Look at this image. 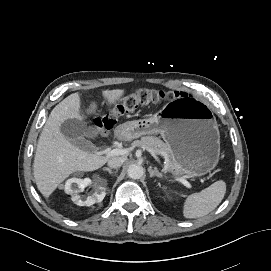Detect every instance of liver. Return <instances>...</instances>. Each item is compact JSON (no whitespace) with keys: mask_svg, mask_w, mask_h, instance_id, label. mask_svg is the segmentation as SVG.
I'll use <instances>...</instances> for the list:
<instances>
[{"mask_svg":"<svg viewBox=\"0 0 271 271\" xmlns=\"http://www.w3.org/2000/svg\"><path fill=\"white\" fill-rule=\"evenodd\" d=\"M124 90L103 91L102 95L111 106L121 101ZM83 120L80 113V97L71 94L60 102L50 113L38 140L35 153L33 174L41 194L48 198L57 186L70 174L89 172L101 168L109 156H101L82 150L73 145L60 132V124L66 119Z\"/></svg>","mask_w":271,"mask_h":271,"instance_id":"obj_1","label":"liver"}]
</instances>
